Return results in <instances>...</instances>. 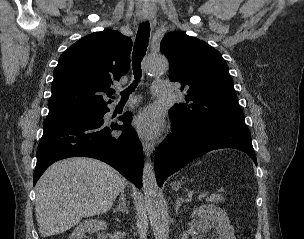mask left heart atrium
Returning <instances> with one entry per match:
<instances>
[{
	"label": "left heart atrium",
	"mask_w": 304,
	"mask_h": 239,
	"mask_svg": "<svg viewBox=\"0 0 304 239\" xmlns=\"http://www.w3.org/2000/svg\"><path fill=\"white\" fill-rule=\"evenodd\" d=\"M132 127L145 138H155L163 129V118L155 109L146 108L133 118Z\"/></svg>",
	"instance_id": "1"
}]
</instances>
